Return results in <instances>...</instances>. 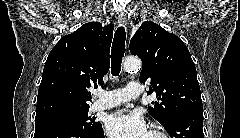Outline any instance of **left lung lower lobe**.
<instances>
[{"mask_svg":"<svg viewBox=\"0 0 240 138\" xmlns=\"http://www.w3.org/2000/svg\"><path fill=\"white\" fill-rule=\"evenodd\" d=\"M203 111L192 110L176 116L166 128L171 138H204Z\"/></svg>","mask_w":240,"mask_h":138,"instance_id":"0a47b994","label":"left lung lower lobe"}]
</instances>
